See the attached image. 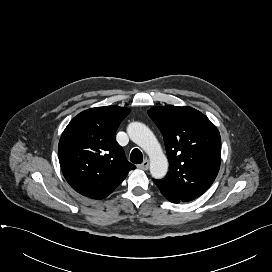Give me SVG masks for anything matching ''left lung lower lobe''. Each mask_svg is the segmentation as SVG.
Returning a JSON list of instances; mask_svg holds the SVG:
<instances>
[{
  "label": "left lung lower lobe",
  "mask_w": 272,
  "mask_h": 272,
  "mask_svg": "<svg viewBox=\"0 0 272 272\" xmlns=\"http://www.w3.org/2000/svg\"><path fill=\"white\" fill-rule=\"evenodd\" d=\"M153 181L155 182V184H157V182L155 180H153ZM194 199H196V197H188V198H184V199H181V200H178V201H176V200H169V201H171L173 203H179V202H188V201H191V200H194Z\"/></svg>",
  "instance_id": "1"
}]
</instances>
